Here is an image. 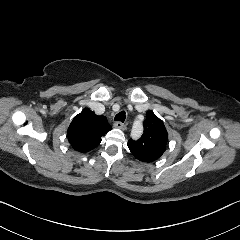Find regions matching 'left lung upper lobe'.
Listing matches in <instances>:
<instances>
[{
	"instance_id": "5c2ea615",
	"label": "left lung upper lobe",
	"mask_w": 240,
	"mask_h": 240,
	"mask_svg": "<svg viewBox=\"0 0 240 240\" xmlns=\"http://www.w3.org/2000/svg\"><path fill=\"white\" fill-rule=\"evenodd\" d=\"M144 133L140 139L128 141L131 153L140 161L151 162L162 156L166 149L168 134L163 122L152 112H147Z\"/></svg>"
}]
</instances>
